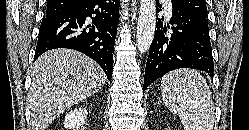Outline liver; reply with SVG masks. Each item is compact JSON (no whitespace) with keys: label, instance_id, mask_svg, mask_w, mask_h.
Masks as SVG:
<instances>
[{"label":"liver","instance_id":"obj_1","mask_svg":"<svg viewBox=\"0 0 249 130\" xmlns=\"http://www.w3.org/2000/svg\"><path fill=\"white\" fill-rule=\"evenodd\" d=\"M31 75L29 107L33 130H46L56 117L98 92L106 81L95 61L70 49L42 54Z\"/></svg>","mask_w":249,"mask_h":130}]
</instances>
